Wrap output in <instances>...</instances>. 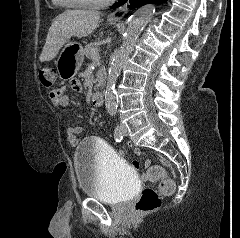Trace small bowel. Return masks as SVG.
Here are the masks:
<instances>
[{
  "instance_id": "1",
  "label": "small bowel",
  "mask_w": 240,
  "mask_h": 238,
  "mask_svg": "<svg viewBox=\"0 0 240 238\" xmlns=\"http://www.w3.org/2000/svg\"><path fill=\"white\" fill-rule=\"evenodd\" d=\"M70 86L76 92H80L82 90V86L78 80H72ZM68 90L69 86L65 84L61 85L57 89L52 90L49 94L52 104L56 107H66L69 104V98L66 94ZM81 132L82 127L79 125L71 126L67 129V140L71 146L75 147L78 144V135ZM129 148H138V143H129ZM118 154H126V149H118ZM134 155L142 156L143 152L139 149H135ZM131 163L134 169H137L138 171H144L145 167H148L150 165V160H147L145 162V167L141 166L140 159H132ZM147 186L151 187L152 183L148 182Z\"/></svg>"
}]
</instances>
